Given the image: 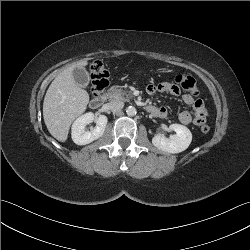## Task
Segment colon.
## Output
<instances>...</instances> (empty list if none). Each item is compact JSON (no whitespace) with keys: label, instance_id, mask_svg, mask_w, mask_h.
<instances>
[{"label":"colon","instance_id":"5ec220e1","mask_svg":"<svg viewBox=\"0 0 250 250\" xmlns=\"http://www.w3.org/2000/svg\"><path fill=\"white\" fill-rule=\"evenodd\" d=\"M91 73V92L93 95H99L109 84V72L101 61H95L90 67ZM175 85L192 95H197L198 88L196 80L185 74H179L175 77ZM203 133H208L210 127L206 124L201 126Z\"/></svg>","mask_w":250,"mask_h":250}]
</instances>
